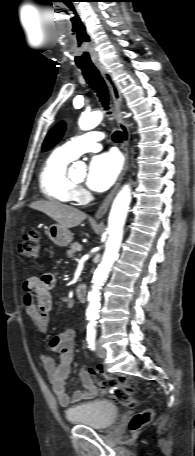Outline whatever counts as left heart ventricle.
<instances>
[{"instance_id": "left-heart-ventricle-1", "label": "left heart ventricle", "mask_w": 195, "mask_h": 456, "mask_svg": "<svg viewBox=\"0 0 195 456\" xmlns=\"http://www.w3.org/2000/svg\"><path fill=\"white\" fill-rule=\"evenodd\" d=\"M82 177H83V176H81V177H79V178L75 179V181H76V182H80V181H82Z\"/></svg>"}]
</instances>
